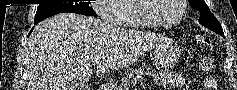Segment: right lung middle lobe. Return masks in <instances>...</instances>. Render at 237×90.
<instances>
[{"mask_svg": "<svg viewBox=\"0 0 237 90\" xmlns=\"http://www.w3.org/2000/svg\"><path fill=\"white\" fill-rule=\"evenodd\" d=\"M90 2L79 3H59V4H39L35 14L34 22H40L45 18L59 13H76L86 16H96Z\"/></svg>", "mask_w": 237, "mask_h": 90, "instance_id": "dd1d6c3e", "label": "right lung middle lobe"}]
</instances>
